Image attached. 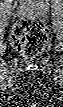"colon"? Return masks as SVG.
I'll return each mask as SVG.
<instances>
[{
  "label": "colon",
  "instance_id": "colon-1",
  "mask_svg": "<svg viewBox=\"0 0 63 107\" xmlns=\"http://www.w3.org/2000/svg\"><path fill=\"white\" fill-rule=\"evenodd\" d=\"M11 40L20 53L35 56L43 50L48 40V29L42 21L25 19L15 25Z\"/></svg>",
  "mask_w": 63,
  "mask_h": 107
}]
</instances>
